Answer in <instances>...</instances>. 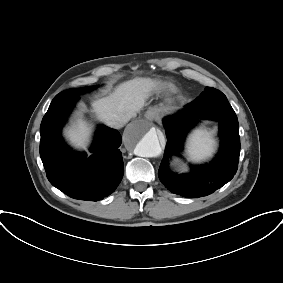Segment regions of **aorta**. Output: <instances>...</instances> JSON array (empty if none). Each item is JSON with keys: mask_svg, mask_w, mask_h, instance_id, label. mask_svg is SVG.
I'll use <instances>...</instances> for the list:
<instances>
[{"mask_svg": "<svg viewBox=\"0 0 283 283\" xmlns=\"http://www.w3.org/2000/svg\"><path fill=\"white\" fill-rule=\"evenodd\" d=\"M123 141L130 150L141 157H158L162 153L158 132L149 122L137 121L129 125Z\"/></svg>", "mask_w": 283, "mask_h": 283, "instance_id": "aorta-1", "label": "aorta"}]
</instances>
